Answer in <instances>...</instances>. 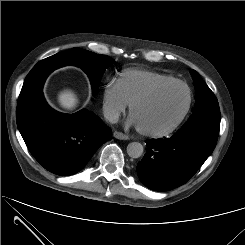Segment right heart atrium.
<instances>
[{
  "mask_svg": "<svg viewBox=\"0 0 245 245\" xmlns=\"http://www.w3.org/2000/svg\"><path fill=\"white\" fill-rule=\"evenodd\" d=\"M128 108L118 82H108L102 92V111L104 117L110 122H116Z\"/></svg>",
  "mask_w": 245,
  "mask_h": 245,
  "instance_id": "1",
  "label": "right heart atrium"
}]
</instances>
